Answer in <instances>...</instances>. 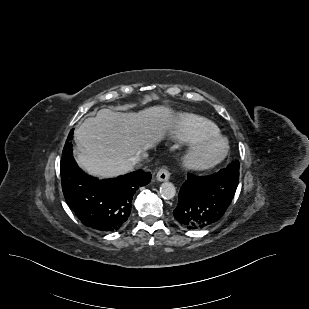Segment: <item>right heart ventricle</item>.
<instances>
[{"instance_id":"right-heart-ventricle-1","label":"right heart ventricle","mask_w":309,"mask_h":309,"mask_svg":"<svg viewBox=\"0 0 309 309\" xmlns=\"http://www.w3.org/2000/svg\"><path fill=\"white\" fill-rule=\"evenodd\" d=\"M218 133L219 129L213 122L194 114H184L177 120L171 136L177 141L191 142Z\"/></svg>"}]
</instances>
